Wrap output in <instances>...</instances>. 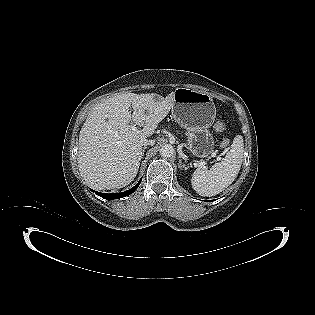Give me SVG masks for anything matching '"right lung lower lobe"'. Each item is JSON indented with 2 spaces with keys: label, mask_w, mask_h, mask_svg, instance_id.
I'll use <instances>...</instances> for the list:
<instances>
[{
  "label": "right lung lower lobe",
  "mask_w": 315,
  "mask_h": 315,
  "mask_svg": "<svg viewBox=\"0 0 315 315\" xmlns=\"http://www.w3.org/2000/svg\"><path fill=\"white\" fill-rule=\"evenodd\" d=\"M141 183V180L131 189L125 191V192H121V193H113V194H107V193H100L97 191L92 190V192H95V194L101 196L104 199L107 200H113V199H119L122 197H126L128 195H130L131 193H133L139 186V184Z\"/></svg>",
  "instance_id": "98d812e1"
}]
</instances>
